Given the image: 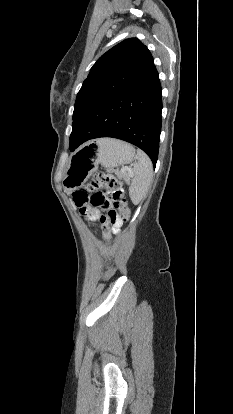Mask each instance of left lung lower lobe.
Segmentation results:
<instances>
[{
  "label": "left lung lower lobe",
  "mask_w": 233,
  "mask_h": 414,
  "mask_svg": "<svg viewBox=\"0 0 233 414\" xmlns=\"http://www.w3.org/2000/svg\"><path fill=\"white\" fill-rule=\"evenodd\" d=\"M162 89L153 66L121 92L100 101L73 124L70 150L84 142L113 137L142 149L155 167L161 132Z\"/></svg>",
  "instance_id": "1"
}]
</instances>
